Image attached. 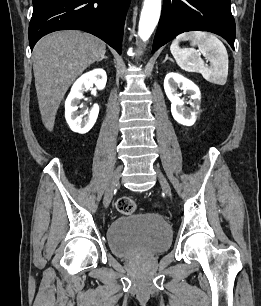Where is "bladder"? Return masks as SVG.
<instances>
[{
  "instance_id": "1",
  "label": "bladder",
  "mask_w": 261,
  "mask_h": 306,
  "mask_svg": "<svg viewBox=\"0 0 261 306\" xmlns=\"http://www.w3.org/2000/svg\"><path fill=\"white\" fill-rule=\"evenodd\" d=\"M107 241L118 257L155 254L169 248L172 231L160 215L135 214L115 219L107 229Z\"/></svg>"
}]
</instances>
